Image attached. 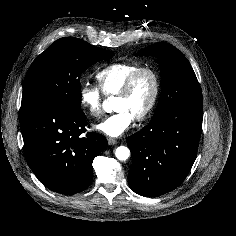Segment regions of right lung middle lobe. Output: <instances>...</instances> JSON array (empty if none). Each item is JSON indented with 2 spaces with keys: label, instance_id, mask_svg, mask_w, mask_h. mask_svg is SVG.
<instances>
[{
  "label": "right lung middle lobe",
  "instance_id": "right-lung-middle-lobe-1",
  "mask_svg": "<svg viewBox=\"0 0 236 236\" xmlns=\"http://www.w3.org/2000/svg\"><path fill=\"white\" fill-rule=\"evenodd\" d=\"M112 51L65 37L56 40L31 64L23 86L21 108L47 103L81 110L80 76Z\"/></svg>",
  "mask_w": 236,
  "mask_h": 236
}]
</instances>
